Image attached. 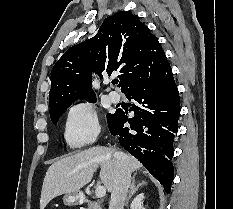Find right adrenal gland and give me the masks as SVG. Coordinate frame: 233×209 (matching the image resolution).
Returning a JSON list of instances; mask_svg holds the SVG:
<instances>
[{
  "label": "right adrenal gland",
  "mask_w": 233,
  "mask_h": 209,
  "mask_svg": "<svg viewBox=\"0 0 233 209\" xmlns=\"http://www.w3.org/2000/svg\"><path fill=\"white\" fill-rule=\"evenodd\" d=\"M135 177H136V174H134V176L132 178V183L130 186L129 194H128L126 201H125L126 206L128 205L129 200L132 198V196L138 191L139 187L147 184L145 181H142L136 185Z\"/></svg>",
  "instance_id": "right-adrenal-gland-1"
}]
</instances>
